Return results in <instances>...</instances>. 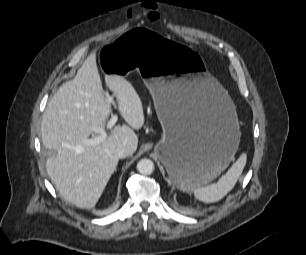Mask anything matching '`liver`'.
<instances>
[{
  "label": "liver",
  "instance_id": "obj_1",
  "mask_svg": "<svg viewBox=\"0 0 306 255\" xmlns=\"http://www.w3.org/2000/svg\"><path fill=\"white\" fill-rule=\"evenodd\" d=\"M105 82L129 126H115L100 144L86 143L94 127L104 130L111 112L95 54L87 57L73 80L60 86L41 122L43 145L52 151L47 173L59 194L80 208H92L100 199L118 165L116 149L127 144L136 151L134 129H141L145 120L141 98L128 80L106 74Z\"/></svg>",
  "mask_w": 306,
  "mask_h": 255
}]
</instances>
